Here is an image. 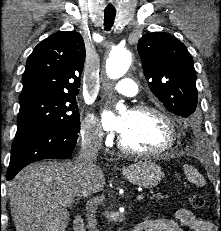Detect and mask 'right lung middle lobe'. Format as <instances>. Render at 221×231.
Segmentation results:
<instances>
[{"label":"right lung middle lobe","mask_w":221,"mask_h":231,"mask_svg":"<svg viewBox=\"0 0 221 231\" xmlns=\"http://www.w3.org/2000/svg\"><path fill=\"white\" fill-rule=\"evenodd\" d=\"M19 100L16 136L29 127L39 125L80 131V116L75 96L37 95Z\"/></svg>","instance_id":"1"}]
</instances>
